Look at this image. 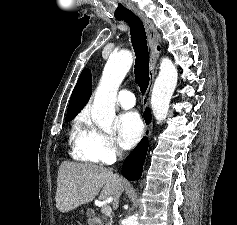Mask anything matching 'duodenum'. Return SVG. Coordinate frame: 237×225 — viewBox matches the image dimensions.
Listing matches in <instances>:
<instances>
[{"label": "duodenum", "instance_id": "obj_1", "mask_svg": "<svg viewBox=\"0 0 237 225\" xmlns=\"http://www.w3.org/2000/svg\"><path fill=\"white\" fill-rule=\"evenodd\" d=\"M92 225H103V224L99 219L93 218L92 219Z\"/></svg>", "mask_w": 237, "mask_h": 225}]
</instances>
